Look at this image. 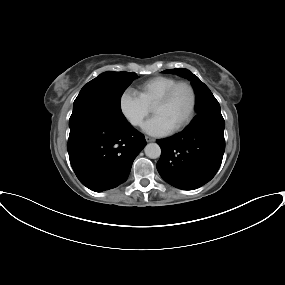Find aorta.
Returning a JSON list of instances; mask_svg holds the SVG:
<instances>
[{"instance_id": "obj_1", "label": "aorta", "mask_w": 285, "mask_h": 285, "mask_svg": "<svg viewBox=\"0 0 285 285\" xmlns=\"http://www.w3.org/2000/svg\"><path fill=\"white\" fill-rule=\"evenodd\" d=\"M145 155L151 159H156L161 155V148L157 143H149L144 148Z\"/></svg>"}]
</instances>
